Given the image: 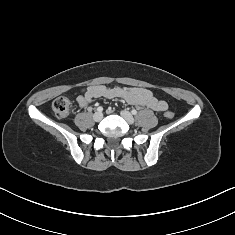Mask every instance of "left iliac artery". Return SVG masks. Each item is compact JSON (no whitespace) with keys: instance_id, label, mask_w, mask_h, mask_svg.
Returning <instances> with one entry per match:
<instances>
[{"instance_id":"obj_1","label":"left iliac artery","mask_w":235,"mask_h":235,"mask_svg":"<svg viewBox=\"0 0 235 235\" xmlns=\"http://www.w3.org/2000/svg\"><path fill=\"white\" fill-rule=\"evenodd\" d=\"M131 113H132L133 115H136V114H137V110L133 109V110L131 111Z\"/></svg>"}]
</instances>
